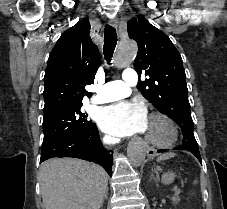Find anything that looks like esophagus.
Listing matches in <instances>:
<instances>
[{
  "label": "esophagus",
  "mask_w": 227,
  "mask_h": 209,
  "mask_svg": "<svg viewBox=\"0 0 227 209\" xmlns=\"http://www.w3.org/2000/svg\"><path fill=\"white\" fill-rule=\"evenodd\" d=\"M110 24L113 26V27H118V21L116 20L117 18V15L116 14H111L110 15ZM155 153H156V150L155 149H148L147 150V153H146V156L147 157H154L155 156Z\"/></svg>",
  "instance_id": "34e87169"
}]
</instances>
